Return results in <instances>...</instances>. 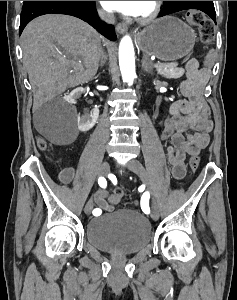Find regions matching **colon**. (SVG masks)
I'll return each mask as SVG.
<instances>
[{
  "label": "colon",
  "instance_id": "5ec220e1",
  "mask_svg": "<svg viewBox=\"0 0 237 300\" xmlns=\"http://www.w3.org/2000/svg\"><path fill=\"white\" fill-rule=\"evenodd\" d=\"M186 20L192 26L198 28L200 32V39L204 44H210L215 36V25L212 20H210L202 11L200 10H189L186 12ZM211 58L207 59L209 62ZM38 146L41 149H45L47 144L45 140L39 139ZM190 168L192 172H195L199 166V156L198 154H194L191 156L189 161ZM124 194V190L122 187L116 189L114 194L111 196V201L113 203H120L122 196Z\"/></svg>",
  "mask_w": 237,
  "mask_h": 300
}]
</instances>
